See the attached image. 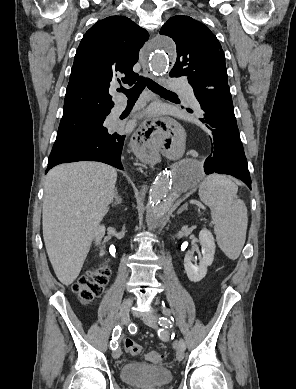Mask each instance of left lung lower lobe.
<instances>
[{
	"label": "left lung lower lobe",
	"mask_w": 296,
	"mask_h": 389,
	"mask_svg": "<svg viewBox=\"0 0 296 389\" xmlns=\"http://www.w3.org/2000/svg\"><path fill=\"white\" fill-rule=\"evenodd\" d=\"M197 100L204 111L200 119L209 130L211 152L204 163L206 174H229L251 189L247 160L234 115L229 87L199 91Z\"/></svg>",
	"instance_id": "left-lung-lower-lobe-1"
}]
</instances>
